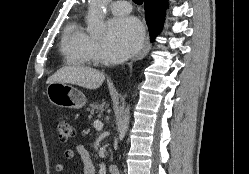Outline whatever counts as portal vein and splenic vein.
Instances as JSON below:
<instances>
[{"label": "portal vein and splenic vein", "mask_w": 249, "mask_h": 174, "mask_svg": "<svg viewBox=\"0 0 249 174\" xmlns=\"http://www.w3.org/2000/svg\"><path fill=\"white\" fill-rule=\"evenodd\" d=\"M94 127L97 129V130H101L103 128V123L100 121V120H95L94 121Z\"/></svg>", "instance_id": "18ae733b"}]
</instances>
